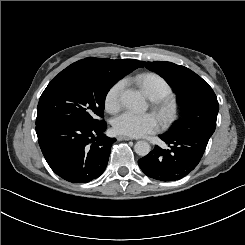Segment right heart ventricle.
Wrapping results in <instances>:
<instances>
[{
  "mask_svg": "<svg viewBox=\"0 0 245 245\" xmlns=\"http://www.w3.org/2000/svg\"><path fill=\"white\" fill-rule=\"evenodd\" d=\"M134 80L152 99L172 96L173 91L169 83L160 75L155 73H138Z\"/></svg>",
  "mask_w": 245,
  "mask_h": 245,
  "instance_id": "e07e8e85",
  "label": "right heart ventricle"
}]
</instances>
